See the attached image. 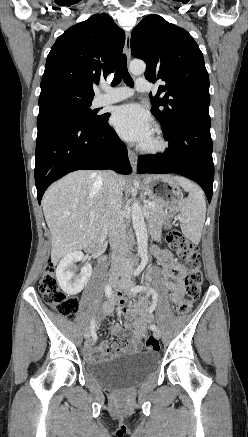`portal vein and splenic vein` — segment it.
<instances>
[{
	"mask_svg": "<svg viewBox=\"0 0 248 437\" xmlns=\"http://www.w3.org/2000/svg\"><path fill=\"white\" fill-rule=\"evenodd\" d=\"M154 206H155V203H153V202L148 203V207H154ZM90 216H91V217H94L95 214H94V213H91Z\"/></svg>",
	"mask_w": 248,
	"mask_h": 437,
	"instance_id": "18ae733b",
	"label": "portal vein and splenic vein"
}]
</instances>
